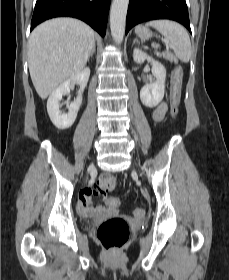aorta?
Here are the masks:
<instances>
[{
	"mask_svg": "<svg viewBox=\"0 0 229 280\" xmlns=\"http://www.w3.org/2000/svg\"><path fill=\"white\" fill-rule=\"evenodd\" d=\"M128 4L129 0H113L111 6L110 29L117 44L123 41Z\"/></svg>",
	"mask_w": 229,
	"mask_h": 280,
	"instance_id": "762f6f07",
	"label": "aorta"
}]
</instances>
